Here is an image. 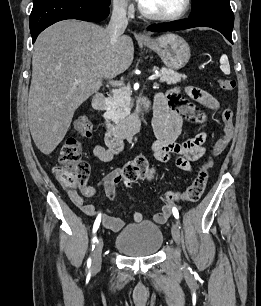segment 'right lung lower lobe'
<instances>
[{
	"mask_svg": "<svg viewBox=\"0 0 261 306\" xmlns=\"http://www.w3.org/2000/svg\"><path fill=\"white\" fill-rule=\"evenodd\" d=\"M109 14L108 5L94 0H33L29 19L32 43L48 26L65 19L89 22L104 20Z\"/></svg>",
	"mask_w": 261,
	"mask_h": 306,
	"instance_id": "obj_1",
	"label": "right lung lower lobe"
}]
</instances>
